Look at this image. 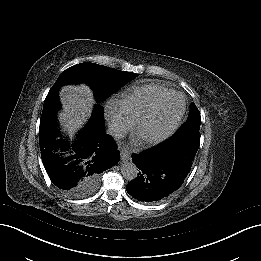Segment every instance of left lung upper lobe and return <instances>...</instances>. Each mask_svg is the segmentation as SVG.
Segmentation results:
<instances>
[{"instance_id": "left-lung-upper-lobe-1", "label": "left lung upper lobe", "mask_w": 261, "mask_h": 261, "mask_svg": "<svg viewBox=\"0 0 261 261\" xmlns=\"http://www.w3.org/2000/svg\"><path fill=\"white\" fill-rule=\"evenodd\" d=\"M201 124L200 113L192 102L190 105V111L187 121L183 126L176 132V136L191 141L192 143L199 145L200 135L199 129Z\"/></svg>"}]
</instances>
